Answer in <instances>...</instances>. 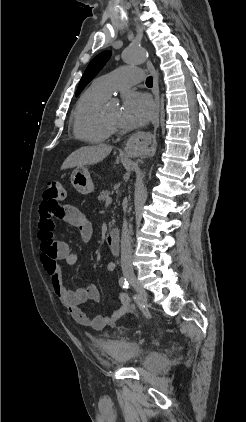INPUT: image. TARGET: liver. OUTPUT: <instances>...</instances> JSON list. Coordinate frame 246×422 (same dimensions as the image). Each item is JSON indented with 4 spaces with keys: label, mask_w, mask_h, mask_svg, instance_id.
Here are the masks:
<instances>
[{
    "label": "liver",
    "mask_w": 246,
    "mask_h": 422,
    "mask_svg": "<svg viewBox=\"0 0 246 422\" xmlns=\"http://www.w3.org/2000/svg\"><path fill=\"white\" fill-rule=\"evenodd\" d=\"M111 151L112 146L105 144L82 147L67 157L61 166V170L97 164L105 159Z\"/></svg>",
    "instance_id": "obj_1"
}]
</instances>
